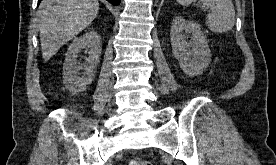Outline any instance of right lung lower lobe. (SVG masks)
Returning a JSON list of instances; mask_svg holds the SVG:
<instances>
[{
  "instance_id": "obj_1",
  "label": "right lung lower lobe",
  "mask_w": 276,
  "mask_h": 165,
  "mask_svg": "<svg viewBox=\"0 0 276 165\" xmlns=\"http://www.w3.org/2000/svg\"><path fill=\"white\" fill-rule=\"evenodd\" d=\"M110 3H112L113 5H119L121 0H107ZM41 2V0H38V4Z\"/></svg>"
}]
</instances>
